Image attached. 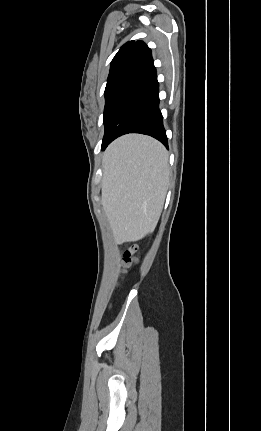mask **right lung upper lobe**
<instances>
[{
	"label": "right lung upper lobe",
	"instance_id": "cb5924a9",
	"mask_svg": "<svg viewBox=\"0 0 261 431\" xmlns=\"http://www.w3.org/2000/svg\"><path fill=\"white\" fill-rule=\"evenodd\" d=\"M151 64H153L151 49L142 41H129L113 58L107 81L128 72L140 73Z\"/></svg>",
	"mask_w": 261,
	"mask_h": 431
}]
</instances>
